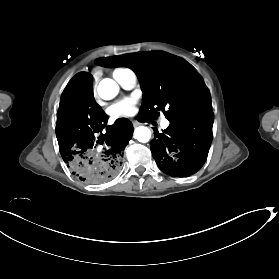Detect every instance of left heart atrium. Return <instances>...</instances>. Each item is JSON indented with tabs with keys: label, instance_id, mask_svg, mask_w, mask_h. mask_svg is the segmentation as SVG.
<instances>
[{
	"label": "left heart atrium",
	"instance_id": "left-heart-atrium-1",
	"mask_svg": "<svg viewBox=\"0 0 279 279\" xmlns=\"http://www.w3.org/2000/svg\"><path fill=\"white\" fill-rule=\"evenodd\" d=\"M136 100L132 97L123 99L122 101L112 105L109 109V115L112 119L132 117L136 114Z\"/></svg>",
	"mask_w": 279,
	"mask_h": 279
}]
</instances>
